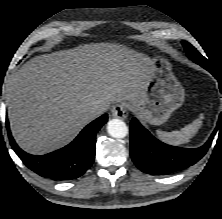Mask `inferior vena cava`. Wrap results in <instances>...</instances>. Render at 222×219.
Segmentation results:
<instances>
[{
  "label": "inferior vena cava",
  "instance_id": "1",
  "mask_svg": "<svg viewBox=\"0 0 222 219\" xmlns=\"http://www.w3.org/2000/svg\"><path fill=\"white\" fill-rule=\"evenodd\" d=\"M107 109L108 108L105 106H96V107L92 108L91 113L97 117V116L105 113L107 111Z\"/></svg>",
  "mask_w": 222,
  "mask_h": 219
}]
</instances>
